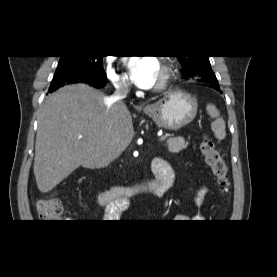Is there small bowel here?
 Masks as SVG:
<instances>
[{
    "label": "small bowel",
    "mask_w": 277,
    "mask_h": 277,
    "mask_svg": "<svg viewBox=\"0 0 277 277\" xmlns=\"http://www.w3.org/2000/svg\"><path fill=\"white\" fill-rule=\"evenodd\" d=\"M152 169H153V172H154L155 176L158 177L159 176V168H158V165L154 161L152 163ZM171 182H172V172H171ZM170 185H171V183L170 184L163 183L161 185L160 195H164L169 190ZM205 194H206V189L204 187H201L198 190L197 195H196V203L197 204L202 202Z\"/></svg>",
    "instance_id": "obj_1"
}]
</instances>
